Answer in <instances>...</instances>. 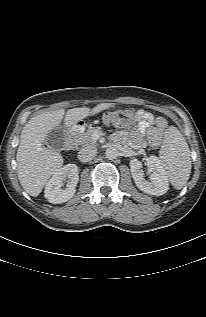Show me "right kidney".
<instances>
[{
  "mask_svg": "<svg viewBox=\"0 0 206 317\" xmlns=\"http://www.w3.org/2000/svg\"><path fill=\"white\" fill-rule=\"evenodd\" d=\"M66 179H69L66 188H62ZM78 181V167L75 164H67L56 171L47 182L45 197L53 204L66 202L75 194Z\"/></svg>",
  "mask_w": 206,
  "mask_h": 317,
  "instance_id": "ca27d5eb",
  "label": "right kidney"
}]
</instances>
